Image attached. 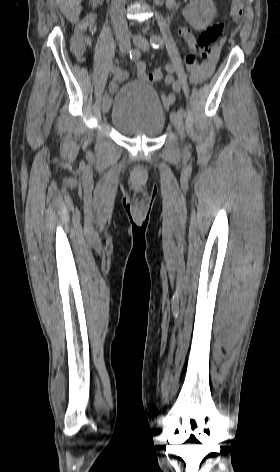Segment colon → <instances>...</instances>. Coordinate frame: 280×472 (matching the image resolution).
<instances>
[{"instance_id":"colon-1","label":"colon","mask_w":280,"mask_h":472,"mask_svg":"<svg viewBox=\"0 0 280 472\" xmlns=\"http://www.w3.org/2000/svg\"><path fill=\"white\" fill-rule=\"evenodd\" d=\"M244 1L245 0H232L230 6V15L234 21H239L242 18ZM224 30L225 25L223 22L213 24L204 30L190 46V51L186 57L187 65H193L197 63V57L204 59L208 58L215 50L220 48L223 44V41L220 40V37L222 36ZM162 77V71L160 69H155L148 75V81L157 82L161 80Z\"/></svg>"}]
</instances>
